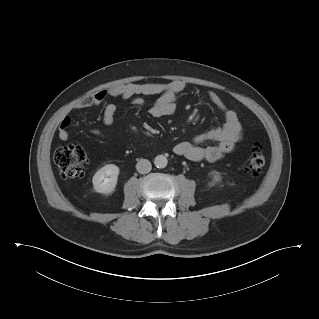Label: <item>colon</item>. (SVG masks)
I'll use <instances>...</instances> for the list:
<instances>
[{
    "mask_svg": "<svg viewBox=\"0 0 319 319\" xmlns=\"http://www.w3.org/2000/svg\"><path fill=\"white\" fill-rule=\"evenodd\" d=\"M55 162L65 179H76L83 175L86 153L78 145H64L55 152ZM265 166V156L260 145L252 147L247 163V170L252 173H260Z\"/></svg>",
    "mask_w": 319,
    "mask_h": 319,
    "instance_id": "5ec220e1",
    "label": "colon"
}]
</instances>
